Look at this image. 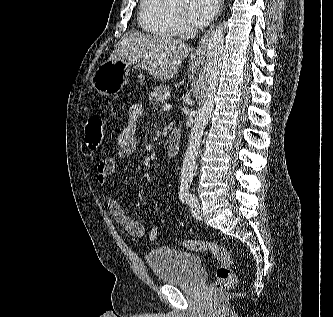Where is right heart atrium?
Returning a JSON list of instances; mask_svg holds the SVG:
<instances>
[{
	"mask_svg": "<svg viewBox=\"0 0 333 317\" xmlns=\"http://www.w3.org/2000/svg\"><path fill=\"white\" fill-rule=\"evenodd\" d=\"M179 26H180L181 29H186V26L182 23H180Z\"/></svg>",
	"mask_w": 333,
	"mask_h": 317,
	"instance_id": "obj_1",
	"label": "right heart atrium"
}]
</instances>
